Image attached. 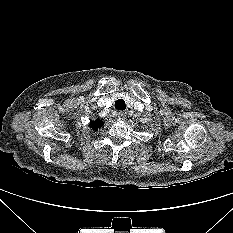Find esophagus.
Masks as SVG:
<instances>
[{
    "label": "esophagus",
    "instance_id": "esophagus-1",
    "mask_svg": "<svg viewBox=\"0 0 233 233\" xmlns=\"http://www.w3.org/2000/svg\"><path fill=\"white\" fill-rule=\"evenodd\" d=\"M117 119H118L119 121L124 120V119H125V113H124V112H119V113L117 114Z\"/></svg>",
    "mask_w": 233,
    "mask_h": 233
}]
</instances>
